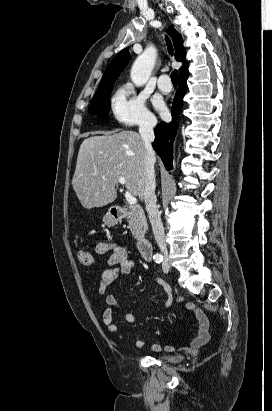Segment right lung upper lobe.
Returning <instances> with one entry per match:
<instances>
[{
  "label": "right lung upper lobe",
  "instance_id": "right-lung-upper-lobe-1",
  "mask_svg": "<svg viewBox=\"0 0 272 411\" xmlns=\"http://www.w3.org/2000/svg\"><path fill=\"white\" fill-rule=\"evenodd\" d=\"M172 37L174 47H175V57L177 61L182 62V66L179 69V77L187 76L188 73V63L185 57L186 51L183 47V40L182 36L177 32L173 26H170L167 30ZM131 55L128 49L122 50L109 64L107 69L105 70L102 80L99 84L98 89L104 88L111 84H114L118 76L120 75V71H122L128 64Z\"/></svg>",
  "mask_w": 272,
  "mask_h": 411
}]
</instances>
